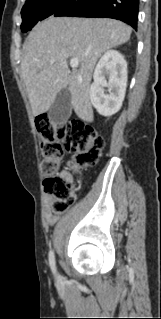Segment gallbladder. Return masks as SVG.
Listing matches in <instances>:
<instances>
[{
	"label": "gallbladder",
	"instance_id": "1",
	"mask_svg": "<svg viewBox=\"0 0 161 319\" xmlns=\"http://www.w3.org/2000/svg\"><path fill=\"white\" fill-rule=\"evenodd\" d=\"M71 94L68 88H63L56 96L49 111V119L53 123L66 122L71 114Z\"/></svg>",
	"mask_w": 161,
	"mask_h": 319
}]
</instances>
